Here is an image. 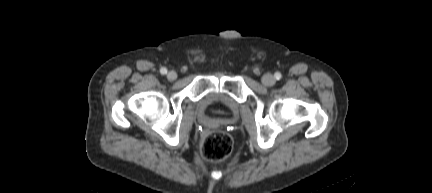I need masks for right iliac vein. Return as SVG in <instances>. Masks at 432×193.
<instances>
[{"label":"right iliac vein","mask_w":432,"mask_h":193,"mask_svg":"<svg viewBox=\"0 0 432 193\" xmlns=\"http://www.w3.org/2000/svg\"><path fill=\"white\" fill-rule=\"evenodd\" d=\"M177 78V73L175 71H169L167 74V79L173 81Z\"/></svg>","instance_id":"1"}]
</instances>
